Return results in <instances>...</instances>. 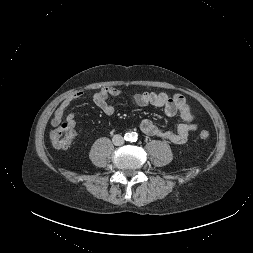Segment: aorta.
Segmentation results:
<instances>
[{"label":"aorta","instance_id":"aorta-1","mask_svg":"<svg viewBox=\"0 0 253 253\" xmlns=\"http://www.w3.org/2000/svg\"><path fill=\"white\" fill-rule=\"evenodd\" d=\"M128 137H129V138H133V134H132V133H129Z\"/></svg>","mask_w":253,"mask_h":253}]
</instances>
